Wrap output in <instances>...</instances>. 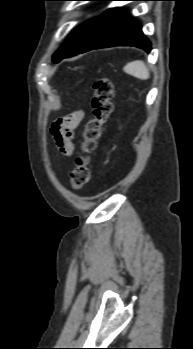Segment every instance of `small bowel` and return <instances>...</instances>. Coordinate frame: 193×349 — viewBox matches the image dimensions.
I'll return each mask as SVG.
<instances>
[{"mask_svg": "<svg viewBox=\"0 0 193 349\" xmlns=\"http://www.w3.org/2000/svg\"><path fill=\"white\" fill-rule=\"evenodd\" d=\"M84 118V112L77 110L68 116L56 120L51 127V135L57 150L64 156H72L74 153V131Z\"/></svg>", "mask_w": 193, "mask_h": 349, "instance_id": "obj_1", "label": "small bowel"}]
</instances>
